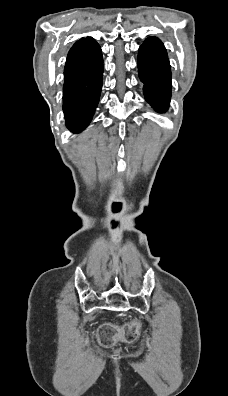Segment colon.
Segmentation results:
<instances>
[{
    "instance_id": "1",
    "label": "colon",
    "mask_w": 228,
    "mask_h": 396,
    "mask_svg": "<svg viewBox=\"0 0 228 396\" xmlns=\"http://www.w3.org/2000/svg\"><path fill=\"white\" fill-rule=\"evenodd\" d=\"M141 330V323L132 319L119 327L114 324H103L98 331L99 342L104 346L113 345L116 341L134 342Z\"/></svg>"
}]
</instances>
